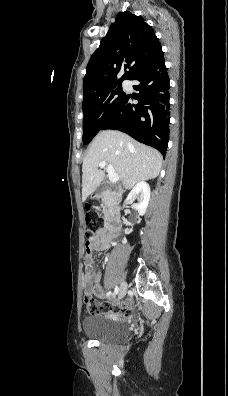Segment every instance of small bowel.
Masks as SVG:
<instances>
[{
    "label": "small bowel",
    "instance_id": "obj_1",
    "mask_svg": "<svg viewBox=\"0 0 228 396\" xmlns=\"http://www.w3.org/2000/svg\"><path fill=\"white\" fill-rule=\"evenodd\" d=\"M115 234L106 228L97 229L93 236L86 241V251L84 256L85 274L83 283L86 286V292L90 291L99 298L104 297V291L101 285V274L93 269L94 251H104L110 247L111 241ZM119 307L129 308L130 302L127 301Z\"/></svg>",
    "mask_w": 228,
    "mask_h": 396
}]
</instances>
